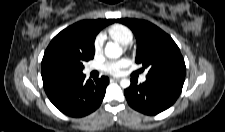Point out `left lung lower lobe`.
Wrapping results in <instances>:
<instances>
[{"mask_svg":"<svg viewBox=\"0 0 225 132\" xmlns=\"http://www.w3.org/2000/svg\"><path fill=\"white\" fill-rule=\"evenodd\" d=\"M183 83L184 80L146 77L144 83L137 85V80L131 79V85L124 90V94L133 109L147 115H156L177 100Z\"/></svg>","mask_w":225,"mask_h":132,"instance_id":"0a47b994","label":"left lung lower lobe"}]
</instances>
